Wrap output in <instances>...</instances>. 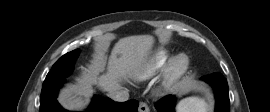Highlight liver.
Segmentation results:
<instances>
[{"mask_svg":"<svg viewBox=\"0 0 270 112\" xmlns=\"http://www.w3.org/2000/svg\"><path fill=\"white\" fill-rule=\"evenodd\" d=\"M154 42L155 39L151 35H135L119 39L109 57L107 72L98 76L106 65V58L99 53L89 66V70L78 80L79 85L71 86L62 92L60 100L63 105L69 110H82L87 104L86 97L92 91V84H97L103 91L109 93L120 90V82L137 78L149 65Z\"/></svg>","mask_w":270,"mask_h":112,"instance_id":"liver-1","label":"liver"}]
</instances>
